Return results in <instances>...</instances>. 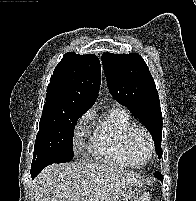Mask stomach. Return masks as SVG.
<instances>
[{
	"instance_id": "0dacf381",
	"label": "stomach",
	"mask_w": 196,
	"mask_h": 201,
	"mask_svg": "<svg viewBox=\"0 0 196 201\" xmlns=\"http://www.w3.org/2000/svg\"><path fill=\"white\" fill-rule=\"evenodd\" d=\"M119 201H139L136 190L131 186L125 188Z\"/></svg>"
}]
</instances>
